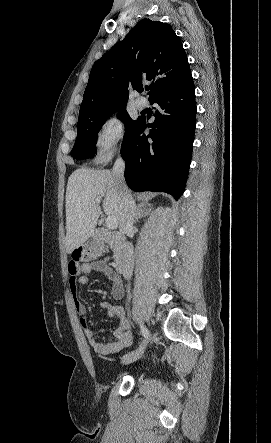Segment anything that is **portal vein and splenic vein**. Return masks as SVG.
Instances as JSON below:
<instances>
[{"label":"portal vein and splenic vein","mask_w":271,"mask_h":443,"mask_svg":"<svg viewBox=\"0 0 271 443\" xmlns=\"http://www.w3.org/2000/svg\"><path fill=\"white\" fill-rule=\"evenodd\" d=\"M96 204H100V200H95ZM106 223V227H108V229H116L118 223L117 220H115V218H112V216H108L107 220H105Z\"/></svg>","instance_id":"1"}]
</instances>
